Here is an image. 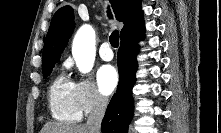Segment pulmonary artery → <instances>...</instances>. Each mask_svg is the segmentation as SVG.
<instances>
[{"label":"pulmonary artery","mask_w":221,"mask_h":133,"mask_svg":"<svg viewBox=\"0 0 221 133\" xmlns=\"http://www.w3.org/2000/svg\"><path fill=\"white\" fill-rule=\"evenodd\" d=\"M99 56L104 61H110L113 59L114 54L111 49V45L108 42L102 43V45L99 48Z\"/></svg>","instance_id":"pulmonary-artery-1"}]
</instances>
